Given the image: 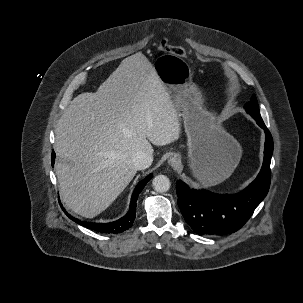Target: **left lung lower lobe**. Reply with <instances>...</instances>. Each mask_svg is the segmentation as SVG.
<instances>
[{
  "label": "left lung lower lobe",
  "mask_w": 303,
  "mask_h": 303,
  "mask_svg": "<svg viewBox=\"0 0 303 303\" xmlns=\"http://www.w3.org/2000/svg\"><path fill=\"white\" fill-rule=\"evenodd\" d=\"M266 135L264 161L256 179L237 194L218 195L205 189L191 190L176 183L178 206L186 223L199 235H220L239 230L268 193L273 153L272 136L263 121L254 119Z\"/></svg>",
  "instance_id": "obj_1"
}]
</instances>
